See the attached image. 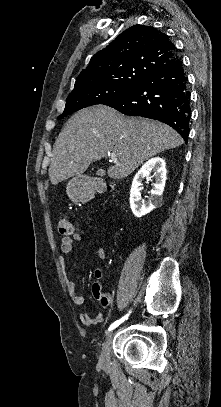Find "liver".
<instances>
[{"instance_id":"liver-1","label":"liver","mask_w":221,"mask_h":407,"mask_svg":"<svg viewBox=\"0 0 221 407\" xmlns=\"http://www.w3.org/2000/svg\"><path fill=\"white\" fill-rule=\"evenodd\" d=\"M182 143L181 136L163 123L125 117L103 105L88 107L75 113L58 135L49 178L57 185L81 176L92 162L114 153L117 162L108 168V176L123 179L144 161Z\"/></svg>"}]
</instances>
